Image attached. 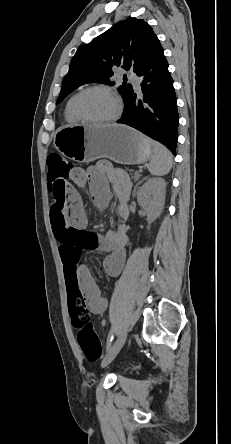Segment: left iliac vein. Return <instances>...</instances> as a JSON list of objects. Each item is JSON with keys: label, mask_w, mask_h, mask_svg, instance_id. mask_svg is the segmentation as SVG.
Listing matches in <instances>:
<instances>
[{"label": "left iliac vein", "mask_w": 231, "mask_h": 444, "mask_svg": "<svg viewBox=\"0 0 231 444\" xmlns=\"http://www.w3.org/2000/svg\"><path fill=\"white\" fill-rule=\"evenodd\" d=\"M126 338H127V330H123L121 332V334L118 336V338L116 339V341L114 342V344L112 345V347L109 348L108 351L106 352V354L102 360L103 367L107 366L116 357V355L119 353V351L123 347V345L126 341Z\"/></svg>", "instance_id": "left-iliac-vein-1"}]
</instances>
